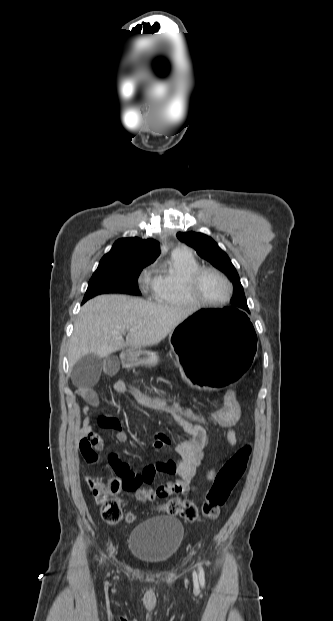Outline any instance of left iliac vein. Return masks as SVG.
Masks as SVG:
<instances>
[{"mask_svg":"<svg viewBox=\"0 0 333 621\" xmlns=\"http://www.w3.org/2000/svg\"><path fill=\"white\" fill-rule=\"evenodd\" d=\"M194 579H195V581L197 580V577H196V575H194Z\"/></svg>","mask_w":333,"mask_h":621,"instance_id":"left-iliac-vein-1","label":"left iliac vein"}]
</instances>
